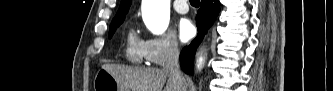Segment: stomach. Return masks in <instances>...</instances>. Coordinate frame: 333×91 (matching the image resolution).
<instances>
[{"label":"stomach","mask_w":333,"mask_h":91,"mask_svg":"<svg viewBox=\"0 0 333 91\" xmlns=\"http://www.w3.org/2000/svg\"><path fill=\"white\" fill-rule=\"evenodd\" d=\"M94 91H128L107 70L100 69L93 83Z\"/></svg>","instance_id":"0dacf381"}]
</instances>
